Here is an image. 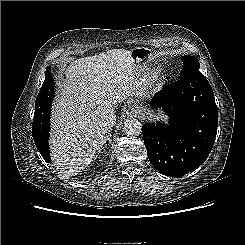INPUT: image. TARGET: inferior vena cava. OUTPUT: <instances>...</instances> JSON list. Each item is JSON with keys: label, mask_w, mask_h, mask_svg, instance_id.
<instances>
[{"label": "inferior vena cava", "mask_w": 245, "mask_h": 245, "mask_svg": "<svg viewBox=\"0 0 245 245\" xmlns=\"http://www.w3.org/2000/svg\"><path fill=\"white\" fill-rule=\"evenodd\" d=\"M97 113L99 114L100 119L102 120L103 125L107 129H111L116 122V115L114 108L110 103H107L105 106H100L97 108Z\"/></svg>", "instance_id": "obj_1"}]
</instances>
